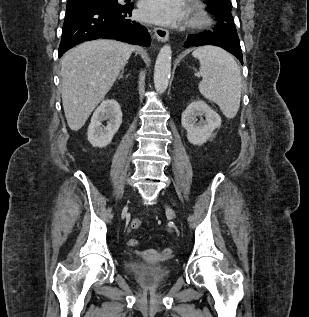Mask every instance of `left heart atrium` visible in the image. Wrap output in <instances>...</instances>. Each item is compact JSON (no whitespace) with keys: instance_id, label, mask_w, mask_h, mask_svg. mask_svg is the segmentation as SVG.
<instances>
[{"instance_id":"1","label":"left heart atrium","mask_w":309,"mask_h":317,"mask_svg":"<svg viewBox=\"0 0 309 317\" xmlns=\"http://www.w3.org/2000/svg\"><path fill=\"white\" fill-rule=\"evenodd\" d=\"M138 14L144 21L177 25L186 20L188 7L185 0H144Z\"/></svg>"}]
</instances>
